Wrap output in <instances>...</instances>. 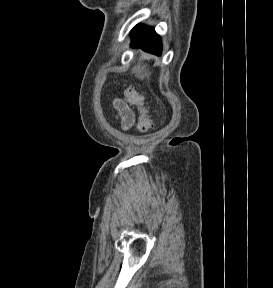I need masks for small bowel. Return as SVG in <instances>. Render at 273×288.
<instances>
[{
  "instance_id": "small-bowel-1",
  "label": "small bowel",
  "mask_w": 273,
  "mask_h": 288,
  "mask_svg": "<svg viewBox=\"0 0 273 288\" xmlns=\"http://www.w3.org/2000/svg\"><path fill=\"white\" fill-rule=\"evenodd\" d=\"M113 106L116 110V116L120 121L123 130H129L135 122V114L126 102L121 99H115Z\"/></svg>"
}]
</instances>
